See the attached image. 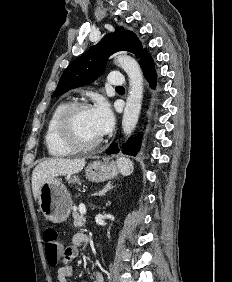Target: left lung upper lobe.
I'll return each mask as SVG.
<instances>
[{
    "instance_id": "5c2ea615",
    "label": "left lung upper lobe",
    "mask_w": 232,
    "mask_h": 282,
    "mask_svg": "<svg viewBox=\"0 0 232 282\" xmlns=\"http://www.w3.org/2000/svg\"><path fill=\"white\" fill-rule=\"evenodd\" d=\"M115 30L65 69L52 97L95 81L104 70L105 60L117 51H128L141 57L144 50L136 35L120 27Z\"/></svg>"
}]
</instances>
